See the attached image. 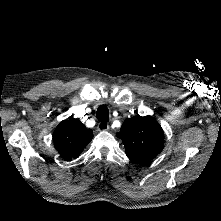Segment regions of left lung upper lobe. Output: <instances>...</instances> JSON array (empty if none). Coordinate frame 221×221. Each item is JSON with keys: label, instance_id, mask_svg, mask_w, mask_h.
I'll use <instances>...</instances> for the list:
<instances>
[{"label": "left lung upper lobe", "instance_id": "obj_1", "mask_svg": "<svg viewBox=\"0 0 221 221\" xmlns=\"http://www.w3.org/2000/svg\"><path fill=\"white\" fill-rule=\"evenodd\" d=\"M117 136L125 146L127 157L135 163L147 164L163 149V130L151 116L127 118Z\"/></svg>", "mask_w": 221, "mask_h": 221}]
</instances>
